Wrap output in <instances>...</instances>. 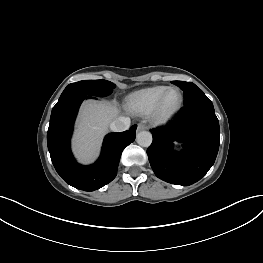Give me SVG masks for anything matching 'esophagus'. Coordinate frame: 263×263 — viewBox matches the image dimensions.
I'll use <instances>...</instances> for the list:
<instances>
[{
	"label": "esophagus",
	"instance_id": "obj_1",
	"mask_svg": "<svg viewBox=\"0 0 263 263\" xmlns=\"http://www.w3.org/2000/svg\"><path fill=\"white\" fill-rule=\"evenodd\" d=\"M146 129H147V126L142 124V123L138 124V126H137V131H142V130H146Z\"/></svg>",
	"mask_w": 263,
	"mask_h": 263
}]
</instances>
